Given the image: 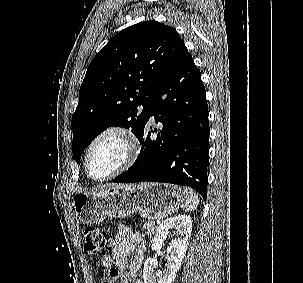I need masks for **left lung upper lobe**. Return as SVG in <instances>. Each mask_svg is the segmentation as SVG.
Wrapping results in <instances>:
<instances>
[{"label":"left lung upper lobe","instance_id":"1","mask_svg":"<svg viewBox=\"0 0 303 283\" xmlns=\"http://www.w3.org/2000/svg\"><path fill=\"white\" fill-rule=\"evenodd\" d=\"M184 48L174 28L150 20L125 28L99 51L81 84L71 121L72 153L78 163L109 126L132 128L139 139L149 103Z\"/></svg>","mask_w":303,"mask_h":283}]
</instances>
